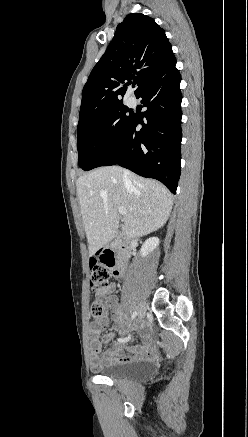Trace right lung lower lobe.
I'll use <instances>...</instances> for the list:
<instances>
[{
  "instance_id": "right-lung-lower-lobe-1",
  "label": "right lung lower lobe",
  "mask_w": 248,
  "mask_h": 437,
  "mask_svg": "<svg viewBox=\"0 0 248 437\" xmlns=\"http://www.w3.org/2000/svg\"><path fill=\"white\" fill-rule=\"evenodd\" d=\"M173 56L135 94L147 108L133 114L113 147L93 166L119 164L176 193L181 168V76ZM142 125L140 131L136 126Z\"/></svg>"
}]
</instances>
